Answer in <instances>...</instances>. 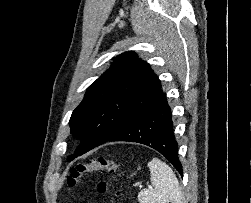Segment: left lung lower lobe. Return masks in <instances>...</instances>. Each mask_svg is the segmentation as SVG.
Instances as JSON below:
<instances>
[{
	"instance_id": "left-lung-lower-lobe-1",
	"label": "left lung lower lobe",
	"mask_w": 251,
	"mask_h": 203,
	"mask_svg": "<svg viewBox=\"0 0 251 203\" xmlns=\"http://www.w3.org/2000/svg\"><path fill=\"white\" fill-rule=\"evenodd\" d=\"M108 141H129L147 145L160 152L182 176L171 110L162 91L147 108Z\"/></svg>"
}]
</instances>
